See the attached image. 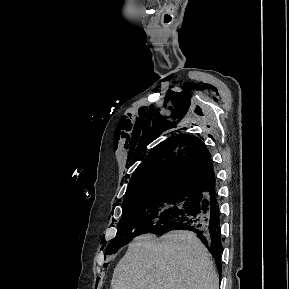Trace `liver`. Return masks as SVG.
<instances>
[{
    "label": "liver",
    "mask_w": 289,
    "mask_h": 289,
    "mask_svg": "<svg viewBox=\"0 0 289 289\" xmlns=\"http://www.w3.org/2000/svg\"><path fill=\"white\" fill-rule=\"evenodd\" d=\"M111 289H219V279L204 244L181 230L160 243L137 237L115 267Z\"/></svg>",
    "instance_id": "1"
}]
</instances>
